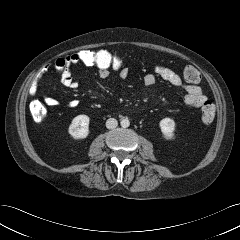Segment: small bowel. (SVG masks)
Here are the masks:
<instances>
[{
    "label": "small bowel",
    "mask_w": 240,
    "mask_h": 240,
    "mask_svg": "<svg viewBox=\"0 0 240 240\" xmlns=\"http://www.w3.org/2000/svg\"><path fill=\"white\" fill-rule=\"evenodd\" d=\"M75 65V62L72 59V54L57 58L53 64L54 68L58 72L60 83L70 89L78 88V82L73 78L70 71V68ZM97 69L98 77L100 79L105 80L110 76V69L102 67ZM118 74L120 78L126 79L128 77L129 70L124 67L118 71ZM157 77L174 87L183 89L185 92L184 102L188 106L199 108L203 107V105L209 101L199 85L184 83L179 74L164 65H156L154 68V73L146 74L143 78V82L146 86H152L155 84ZM37 90L38 85L36 82L30 88V95L34 96L37 93ZM43 99L44 102L49 106L59 105V100L50 95H44ZM77 104L78 102L76 100H69L66 105L69 108H74L77 106Z\"/></svg>",
    "instance_id": "1"
}]
</instances>
